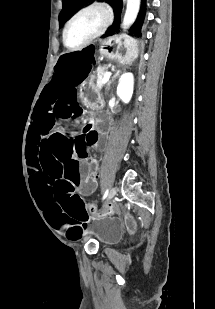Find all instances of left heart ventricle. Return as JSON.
<instances>
[{
	"instance_id": "1",
	"label": "left heart ventricle",
	"mask_w": 215,
	"mask_h": 309,
	"mask_svg": "<svg viewBox=\"0 0 215 309\" xmlns=\"http://www.w3.org/2000/svg\"><path fill=\"white\" fill-rule=\"evenodd\" d=\"M89 21L87 19H80L70 29L68 41L71 44L78 43L87 34L89 30Z\"/></svg>"
}]
</instances>
